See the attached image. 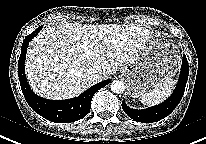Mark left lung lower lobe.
<instances>
[{"label":"left lung lower lobe","instance_id":"1","mask_svg":"<svg viewBox=\"0 0 206 144\" xmlns=\"http://www.w3.org/2000/svg\"><path fill=\"white\" fill-rule=\"evenodd\" d=\"M188 61L186 55H183V63L181 67L180 77L177 86L172 95L161 104L143 110L131 109L125 102H122L124 112L133 120L137 122L152 123L157 122L168 116L179 104L188 79Z\"/></svg>","mask_w":206,"mask_h":144}]
</instances>
